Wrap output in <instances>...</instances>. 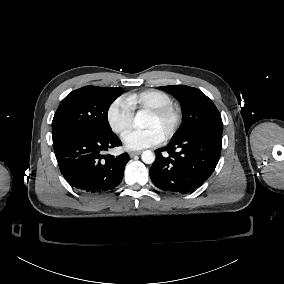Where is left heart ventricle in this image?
<instances>
[{
  "label": "left heart ventricle",
  "instance_id": "1",
  "mask_svg": "<svg viewBox=\"0 0 284 284\" xmlns=\"http://www.w3.org/2000/svg\"><path fill=\"white\" fill-rule=\"evenodd\" d=\"M168 126L169 120L167 118H156L152 115H149L146 121V127L156 129L162 135V137L167 132Z\"/></svg>",
  "mask_w": 284,
  "mask_h": 284
}]
</instances>
